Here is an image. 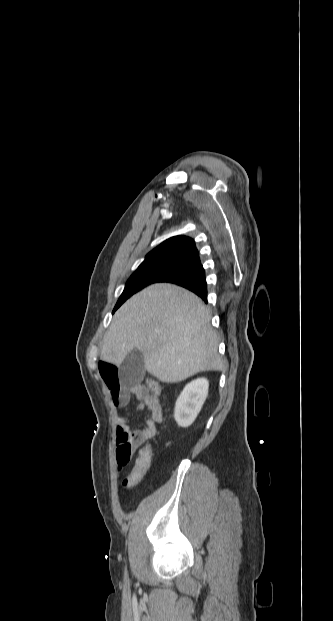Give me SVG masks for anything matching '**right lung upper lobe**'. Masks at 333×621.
<instances>
[{
	"label": "right lung upper lobe",
	"instance_id": "right-lung-upper-lobe-1",
	"mask_svg": "<svg viewBox=\"0 0 333 621\" xmlns=\"http://www.w3.org/2000/svg\"><path fill=\"white\" fill-rule=\"evenodd\" d=\"M198 253L195 242L187 236H174L153 249L146 255L144 261H153L164 258H180L187 260Z\"/></svg>",
	"mask_w": 333,
	"mask_h": 621
}]
</instances>
